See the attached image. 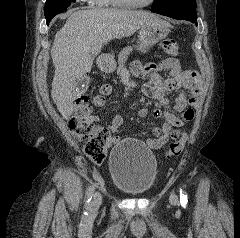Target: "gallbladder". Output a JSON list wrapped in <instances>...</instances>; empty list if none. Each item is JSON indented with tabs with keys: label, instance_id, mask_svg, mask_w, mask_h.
Instances as JSON below:
<instances>
[{
	"label": "gallbladder",
	"instance_id": "gallbladder-1",
	"mask_svg": "<svg viewBox=\"0 0 240 238\" xmlns=\"http://www.w3.org/2000/svg\"><path fill=\"white\" fill-rule=\"evenodd\" d=\"M82 83H83V81H78L76 87L81 88Z\"/></svg>",
	"mask_w": 240,
	"mask_h": 238
}]
</instances>
